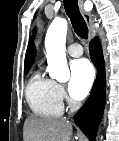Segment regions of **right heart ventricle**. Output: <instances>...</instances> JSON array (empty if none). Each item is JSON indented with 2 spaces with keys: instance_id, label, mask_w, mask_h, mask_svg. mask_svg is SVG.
<instances>
[{
  "instance_id": "right-heart-ventricle-1",
  "label": "right heart ventricle",
  "mask_w": 119,
  "mask_h": 141,
  "mask_svg": "<svg viewBox=\"0 0 119 141\" xmlns=\"http://www.w3.org/2000/svg\"><path fill=\"white\" fill-rule=\"evenodd\" d=\"M26 100L32 112L45 118H58L63 113L58 84L39 71L30 78L26 87Z\"/></svg>"
}]
</instances>
